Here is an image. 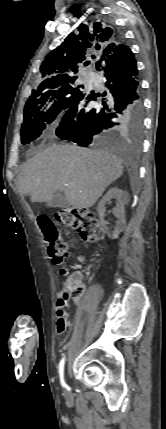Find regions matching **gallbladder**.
<instances>
[{
  "mask_svg": "<svg viewBox=\"0 0 166 429\" xmlns=\"http://www.w3.org/2000/svg\"><path fill=\"white\" fill-rule=\"evenodd\" d=\"M47 206L52 207V208H56V207H68L69 203L67 202V200L59 195V194H54L52 196V198L47 201Z\"/></svg>",
  "mask_w": 166,
  "mask_h": 429,
  "instance_id": "1",
  "label": "gallbladder"
}]
</instances>
